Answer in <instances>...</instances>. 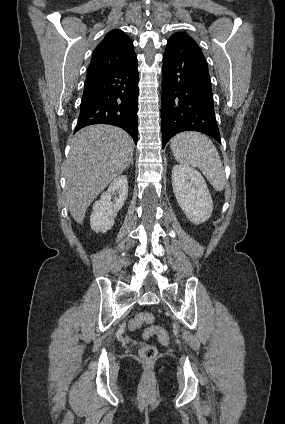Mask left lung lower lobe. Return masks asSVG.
<instances>
[{"label":"left lung lower lobe","instance_id":"0a47b994","mask_svg":"<svg viewBox=\"0 0 285 424\" xmlns=\"http://www.w3.org/2000/svg\"><path fill=\"white\" fill-rule=\"evenodd\" d=\"M162 146L177 133L198 131L218 142L220 133L207 61L196 42L170 38L163 55Z\"/></svg>","mask_w":285,"mask_h":424}]
</instances>
